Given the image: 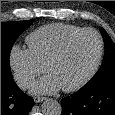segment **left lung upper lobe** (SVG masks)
Wrapping results in <instances>:
<instances>
[{
    "label": "left lung upper lobe",
    "mask_w": 115,
    "mask_h": 115,
    "mask_svg": "<svg viewBox=\"0 0 115 115\" xmlns=\"http://www.w3.org/2000/svg\"><path fill=\"white\" fill-rule=\"evenodd\" d=\"M100 31L105 45L104 59L97 73L81 89H88L106 82L115 81V44L103 28H100Z\"/></svg>",
    "instance_id": "5c2ea615"
}]
</instances>
